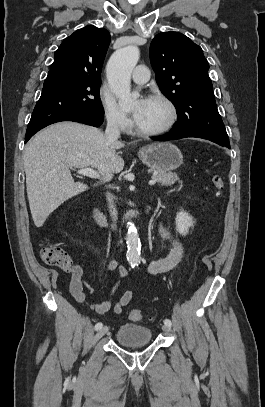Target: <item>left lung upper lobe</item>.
<instances>
[{
    "mask_svg": "<svg viewBox=\"0 0 265 407\" xmlns=\"http://www.w3.org/2000/svg\"><path fill=\"white\" fill-rule=\"evenodd\" d=\"M150 61L162 93L177 110L171 133H193L229 143L201 47L181 33L163 32L151 42Z\"/></svg>",
    "mask_w": 265,
    "mask_h": 407,
    "instance_id": "left-lung-upper-lobe-1",
    "label": "left lung upper lobe"
}]
</instances>
